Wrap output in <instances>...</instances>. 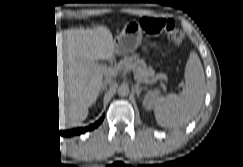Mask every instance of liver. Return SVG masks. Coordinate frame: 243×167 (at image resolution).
I'll use <instances>...</instances> for the list:
<instances>
[{
  "label": "liver",
  "instance_id": "liver-1",
  "mask_svg": "<svg viewBox=\"0 0 243 167\" xmlns=\"http://www.w3.org/2000/svg\"><path fill=\"white\" fill-rule=\"evenodd\" d=\"M59 98L62 123L79 124L87 116L102 86L103 73L94 60H108L115 42L107 27L75 30L57 38Z\"/></svg>",
  "mask_w": 243,
  "mask_h": 167
}]
</instances>
